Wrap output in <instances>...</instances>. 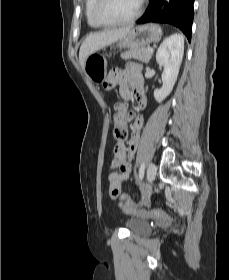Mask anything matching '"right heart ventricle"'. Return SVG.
Masks as SVG:
<instances>
[{
  "mask_svg": "<svg viewBox=\"0 0 229 280\" xmlns=\"http://www.w3.org/2000/svg\"><path fill=\"white\" fill-rule=\"evenodd\" d=\"M96 0H85V17L88 25L91 28H100L93 19V9L95 6Z\"/></svg>",
  "mask_w": 229,
  "mask_h": 280,
  "instance_id": "right-heart-ventricle-1",
  "label": "right heart ventricle"
}]
</instances>
